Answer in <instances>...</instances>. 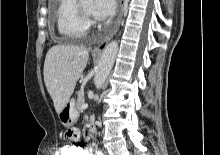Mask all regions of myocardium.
I'll list each match as a JSON object with an SVG mask.
<instances>
[{
	"instance_id": "f54148a6",
	"label": "myocardium",
	"mask_w": 220,
	"mask_h": 155,
	"mask_svg": "<svg viewBox=\"0 0 220 155\" xmlns=\"http://www.w3.org/2000/svg\"><path fill=\"white\" fill-rule=\"evenodd\" d=\"M76 10H77V13L78 15L80 16V18L85 21V22H89L92 18L91 16V13L87 12L83 6L81 5V1L80 0H77V3H76Z\"/></svg>"
}]
</instances>
